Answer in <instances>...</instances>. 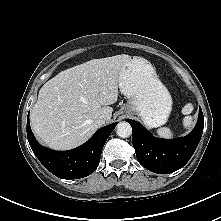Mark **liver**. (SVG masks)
<instances>
[{
  "label": "liver",
  "mask_w": 221,
  "mask_h": 221,
  "mask_svg": "<svg viewBox=\"0 0 221 221\" xmlns=\"http://www.w3.org/2000/svg\"><path fill=\"white\" fill-rule=\"evenodd\" d=\"M129 55L93 59L58 73L46 82L30 114L34 133L52 149L68 150L87 141L110 121L118 99L119 73Z\"/></svg>",
  "instance_id": "obj_1"
}]
</instances>
